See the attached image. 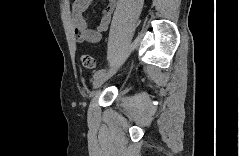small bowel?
Returning a JSON list of instances; mask_svg holds the SVG:
<instances>
[{
	"mask_svg": "<svg viewBox=\"0 0 239 156\" xmlns=\"http://www.w3.org/2000/svg\"><path fill=\"white\" fill-rule=\"evenodd\" d=\"M91 0H75L72 4V26L75 38L78 42L96 43L108 28L112 13L116 6L115 0H108L101 11L100 20L95 28L88 27L84 12L88 9Z\"/></svg>",
	"mask_w": 239,
	"mask_h": 156,
	"instance_id": "c3829d8e",
	"label": "small bowel"
}]
</instances>
